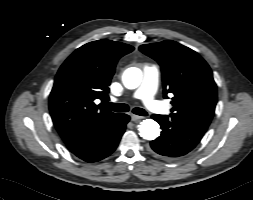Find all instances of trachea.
Wrapping results in <instances>:
<instances>
[{
    "instance_id": "1",
    "label": "trachea",
    "mask_w": 253,
    "mask_h": 200,
    "mask_svg": "<svg viewBox=\"0 0 253 200\" xmlns=\"http://www.w3.org/2000/svg\"><path fill=\"white\" fill-rule=\"evenodd\" d=\"M103 107L107 108V109H110L112 111H115V112H128L129 111V107L128 105L126 104H122V103H108V102H104L103 103ZM132 112L136 115H139V116H147V112L142 109V108H134L132 110Z\"/></svg>"
}]
</instances>
